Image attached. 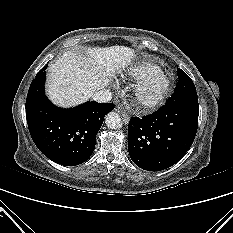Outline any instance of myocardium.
<instances>
[{
  "instance_id": "myocardium-1",
  "label": "myocardium",
  "mask_w": 233,
  "mask_h": 233,
  "mask_svg": "<svg viewBox=\"0 0 233 233\" xmlns=\"http://www.w3.org/2000/svg\"><path fill=\"white\" fill-rule=\"evenodd\" d=\"M170 85V78L162 70L150 72L139 81L136 87L138 103L147 110L157 107L166 97Z\"/></svg>"
}]
</instances>
